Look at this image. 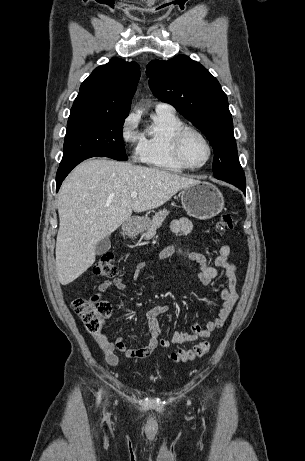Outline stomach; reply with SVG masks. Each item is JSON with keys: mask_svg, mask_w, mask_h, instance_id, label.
Listing matches in <instances>:
<instances>
[{"mask_svg": "<svg viewBox=\"0 0 305 461\" xmlns=\"http://www.w3.org/2000/svg\"><path fill=\"white\" fill-rule=\"evenodd\" d=\"M181 203L191 217L205 220L219 214L224 208V197L219 189L209 182L198 181L182 189ZM149 226L148 218H137L123 225V231L128 236H136Z\"/></svg>", "mask_w": 305, "mask_h": 461, "instance_id": "1", "label": "stomach"}]
</instances>
